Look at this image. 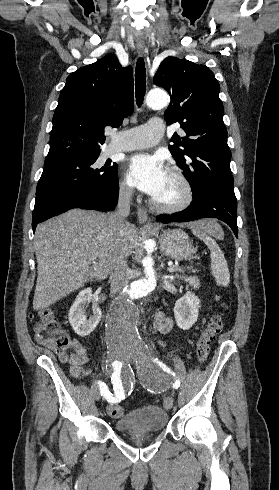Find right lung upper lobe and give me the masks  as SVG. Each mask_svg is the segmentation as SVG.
<instances>
[{
  "label": "right lung upper lobe",
  "instance_id": "right-lung-upper-lobe-1",
  "mask_svg": "<svg viewBox=\"0 0 279 490\" xmlns=\"http://www.w3.org/2000/svg\"><path fill=\"white\" fill-rule=\"evenodd\" d=\"M133 70L108 54L71 73L53 116L45 162L101 151L104 127H119L133 111Z\"/></svg>",
  "mask_w": 279,
  "mask_h": 490
}]
</instances>
